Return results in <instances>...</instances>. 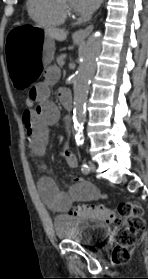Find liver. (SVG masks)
Wrapping results in <instances>:
<instances>
[{"mask_svg": "<svg viewBox=\"0 0 148 279\" xmlns=\"http://www.w3.org/2000/svg\"><path fill=\"white\" fill-rule=\"evenodd\" d=\"M44 31L48 37L57 41H64L67 37V32H65L63 29L44 27Z\"/></svg>", "mask_w": 148, "mask_h": 279, "instance_id": "liver-1", "label": "liver"}]
</instances>
